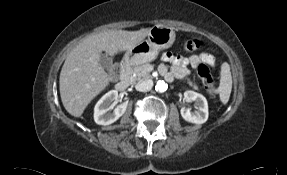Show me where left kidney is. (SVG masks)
<instances>
[{
  "instance_id": "1",
  "label": "left kidney",
  "mask_w": 287,
  "mask_h": 175,
  "mask_svg": "<svg viewBox=\"0 0 287 175\" xmlns=\"http://www.w3.org/2000/svg\"><path fill=\"white\" fill-rule=\"evenodd\" d=\"M184 97L188 101L194 102L195 110L192 112L189 108L183 107L181 109V116L184 120L194 123L203 124L208 119V103L206 98L194 91H186Z\"/></svg>"
}]
</instances>
